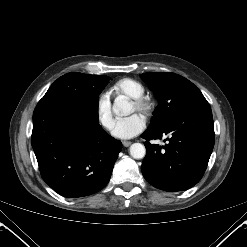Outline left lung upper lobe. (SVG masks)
I'll return each mask as SVG.
<instances>
[{
  "mask_svg": "<svg viewBox=\"0 0 247 247\" xmlns=\"http://www.w3.org/2000/svg\"><path fill=\"white\" fill-rule=\"evenodd\" d=\"M140 77L159 101L148 129L161 128L193 110L210 108L201 91L178 74L154 72Z\"/></svg>",
  "mask_w": 247,
  "mask_h": 247,
  "instance_id": "left-lung-upper-lobe-1",
  "label": "left lung upper lobe"
}]
</instances>
